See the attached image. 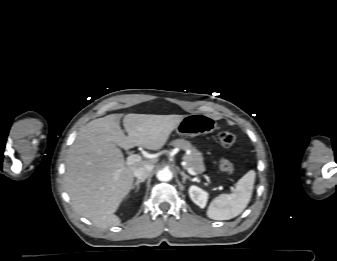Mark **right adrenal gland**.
Instances as JSON below:
<instances>
[{
  "mask_svg": "<svg viewBox=\"0 0 337 261\" xmlns=\"http://www.w3.org/2000/svg\"><path fill=\"white\" fill-rule=\"evenodd\" d=\"M144 181H145L144 179H142V180H137V181L133 184L132 189H133V190L136 189V192H138L139 187H140V183H142V182H144Z\"/></svg>",
  "mask_w": 337,
  "mask_h": 261,
  "instance_id": "2a0ac1e0",
  "label": "right adrenal gland"
}]
</instances>
